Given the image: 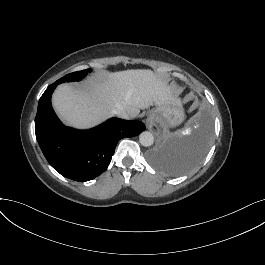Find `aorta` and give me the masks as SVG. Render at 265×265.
I'll list each match as a JSON object with an SVG mask.
<instances>
[{
  "label": "aorta",
  "instance_id": "1",
  "mask_svg": "<svg viewBox=\"0 0 265 265\" xmlns=\"http://www.w3.org/2000/svg\"><path fill=\"white\" fill-rule=\"evenodd\" d=\"M139 141L141 145L148 147L151 146L154 142V137L151 132L144 131L139 136Z\"/></svg>",
  "mask_w": 265,
  "mask_h": 265
}]
</instances>
